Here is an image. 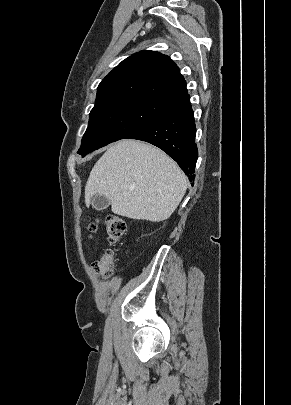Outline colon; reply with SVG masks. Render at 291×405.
Returning a JSON list of instances; mask_svg holds the SVG:
<instances>
[{
  "mask_svg": "<svg viewBox=\"0 0 291 405\" xmlns=\"http://www.w3.org/2000/svg\"><path fill=\"white\" fill-rule=\"evenodd\" d=\"M104 223L107 231V238L114 243L119 241L125 231L126 223L124 219L118 215L109 214L104 218ZM98 227V221L92 222L88 230L91 234L95 233ZM114 253L111 250H106L101 258L93 263L94 271L103 278H110L113 275Z\"/></svg>",
  "mask_w": 291,
  "mask_h": 405,
  "instance_id": "1",
  "label": "colon"
}]
</instances>
